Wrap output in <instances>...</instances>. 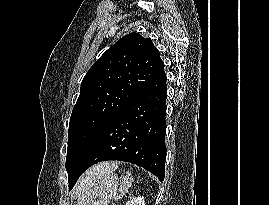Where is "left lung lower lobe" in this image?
<instances>
[{"mask_svg": "<svg viewBox=\"0 0 269 205\" xmlns=\"http://www.w3.org/2000/svg\"><path fill=\"white\" fill-rule=\"evenodd\" d=\"M166 74L164 70L99 133L69 178V190L95 163L126 161L164 180L166 130Z\"/></svg>", "mask_w": 269, "mask_h": 205, "instance_id": "1", "label": "left lung lower lobe"}]
</instances>
